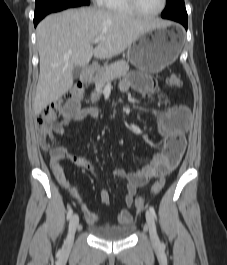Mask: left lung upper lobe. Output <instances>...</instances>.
<instances>
[{
    "instance_id": "obj_1",
    "label": "left lung upper lobe",
    "mask_w": 227,
    "mask_h": 265,
    "mask_svg": "<svg viewBox=\"0 0 227 265\" xmlns=\"http://www.w3.org/2000/svg\"><path fill=\"white\" fill-rule=\"evenodd\" d=\"M162 17L167 19H187L184 0H167Z\"/></svg>"
}]
</instances>
